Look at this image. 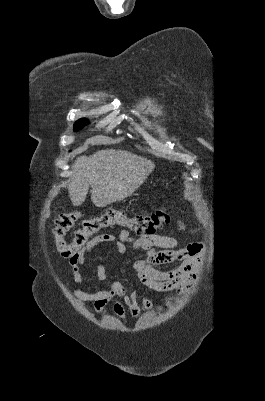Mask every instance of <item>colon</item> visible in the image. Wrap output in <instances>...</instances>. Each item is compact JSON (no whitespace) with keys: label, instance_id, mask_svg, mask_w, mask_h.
I'll list each match as a JSON object with an SVG mask.
<instances>
[{"label":"colon","instance_id":"1","mask_svg":"<svg viewBox=\"0 0 265 401\" xmlns=\"http://www.w3.org/2000/svg\"><path fill=\"white\" fill-rule=\"evenodd\" d=\"M79 212H68L60 215L53 228V235L58 252L66 258H70L82 250L89 237L100 229L119 225L128 228L137 235H151L169 223V214L162 207L152 214L129 216L127 213L115 209L107 210L100 216L87 219L75 234L72 242H67L65 236L80 218Z\"/></svg>","mask_w":265,"mask_h":401}]
</instances>
